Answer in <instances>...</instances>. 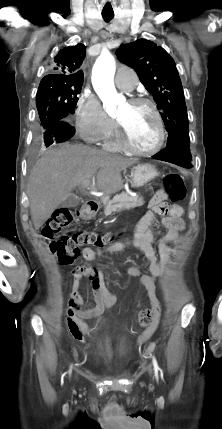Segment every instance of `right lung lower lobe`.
Here are the masks:
<instances>
[{"label":"right lung lower lobe","mask_w":222,"mask_h":429,"mask_svg":"<svg viewBox=\"0 0 222 429\" xmlns=\"http://www.w3.org/2000/svg\"><path fill=\"white\" fill-rule=\"evenodd\" d=\"M75 133V129L69 124V120L60 121L44 132V142L48 147L52 143H61L70 139Z\"/></svg>","instance_id":"obj_1"}]
</instances>
